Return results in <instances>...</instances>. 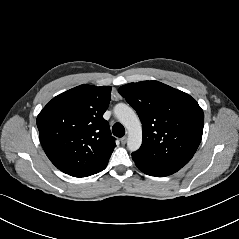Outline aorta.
Returning a JSON list of instances; mask_svg holds the SVG:
<instances>
[{
  "mask_svg": "<svg viewBox=\"0 0 239 239\" xmlns=\"http://www.w3.org/2000/svg\"><path fill=\"white\" fill-rule=\"evenodd\" d=\"M114 114L128 131V149L138 150L142 143V127L134 110L126 104L119 103L114 107Z\"/></svg>",
  "mask_w": 239,
  "mask_h": 239,
  "instance_id": "aorta-1",
  "label": "aorta"
}]
</instances>
